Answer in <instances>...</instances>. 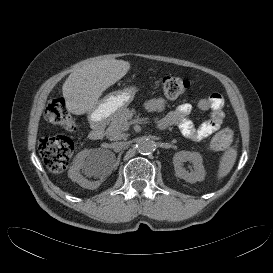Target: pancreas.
Instances as JSON below:
<instances>
[{"mask_svg":"<svg viewBox=\"0 0 273 273\" xmlns=\"http://www.w3.org/2000/svg\"><path fill=\"white\" fill-rule=\"evenodd\" d=\"M134 109L124 108L118 113H116L112 118L109 124V127L106 130V137L109 140H121L127 137V134L123 133L129 127L128 120L134 115Z\"/></svg>","mask_w":273,"mask_h":273,"instance_id":"1","label":"pancreas"}]
</instances>
